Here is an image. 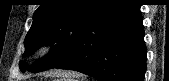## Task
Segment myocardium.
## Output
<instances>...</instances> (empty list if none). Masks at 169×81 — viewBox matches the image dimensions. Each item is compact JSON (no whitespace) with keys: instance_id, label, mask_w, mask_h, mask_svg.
I'll list each match as a JSON object with an SVG mask.
<instances>
[{"instance_id":"f54148a6","label":"myocardium","mask_w":169,"mask_h":81,"mask_svg":"<svg viewBox=\"0 0 169 81\" xmlns=\"http://www.w3.org/2000/svg\"><path fill=\"white\" fill-rule=\"evenodd\" d=\"M55 50L54 43L50 41L41 42L36 49V54L39 58L45 59L52 55Z\"/></svg>"}]
</instances>
